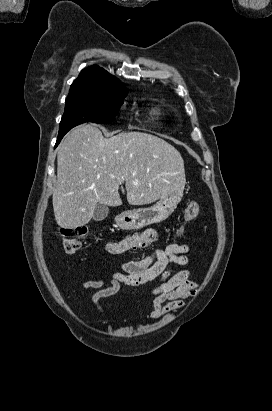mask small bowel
I'll list each match as a JSON object with an SVG mask.
<instances>
[{
  "mask_svg": "<svg viewBox=\"0 0 272 411\" xmlns=\"http://www.w3.org/2000/svg\"><path fill=\"white\" fill-rule=\"evenodd\" d=\"M158 240V232L149 228L141 233H134L119 241H111L106 245V251L119 255L127 252L147 248ZM187 244H169L165 248H157L138 260L126 261L121 264L122 273H114L110 284L104 286L102 280H87L82 283L79 296L81 300L86 291L95 289L92 302L100 313H104L101 301L116 295L121 285L138 287L149 283L155 285L149 293L154 296L153 309L149 317L157 320L167 313L177 311L184 307V300L194 296L198 284L191 279L189 270L184 269L174 272L175 266L188 264ZM116 314L113 315V318Z\"/></svg>",
  "mask_w": 272,
  "mask_h": 411,
  "instance_id": "small-bowel-1",
  "label": "small bowel"
}]
</instances>
